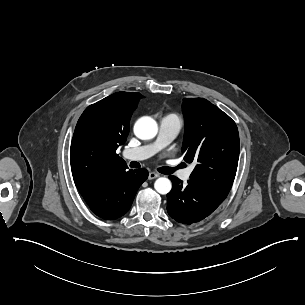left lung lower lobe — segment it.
<instances>
[{
    "mask_svg": "<svg viewBox=\"0 0 305 305\" xmlns=\"http://www.w3.org/2000/svg\"><path fill=\"white\" fill-rule=\"evenodd\" d=\"M167 194L168 214L177 222L191 225L210 215L227 197L228 191L199 185L191 180L187 185L175 176Z\"/></svg>",
    "mask_w": 305,
    "mask_h": 305,
    "instance_id": "left-lung-lower-lobe-1",
    "label": "left lung lower lobe"
}]
</instances>
